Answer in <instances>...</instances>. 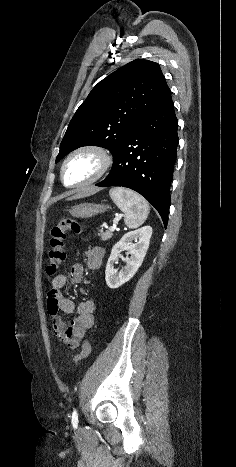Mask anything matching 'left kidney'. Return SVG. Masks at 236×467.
<instances>
[{
    "instance_id": "5707ae66",
    "label": "left kidney",
    "mask_w": 236,
    "mask_h": 467,
    "mask_svg": "<svg viewBox=\"0 0 236 467\" xmlns=\"http://www.w3.org/2000/svg\"><path fill=\"white\" fill-rule=\"evenodd\" d=\"M151 235L152 228L150 226H144L126 233L121 240L113 246L105 271L106 284L109 288L116 289L135 275L144 260ZM124 250L129 252L130 257L125 259L126 266L118 273L114 269V264L118 260L121 251Z\"/></svg>"
}]
</instances>
